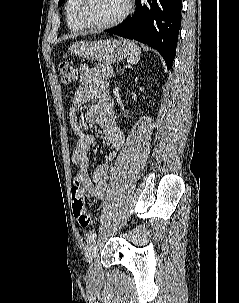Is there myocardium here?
Instances as JSON below:
<instances>
[{"mask_svg": "<svg viewBox=\"0 0 239 303\" xmlns=\"http://www.w3.org/2000/svg\"><path fill=\"white\" fill-rule=\"evenodd\" d=\"M85 0H76V5L74 8L75 16L79 23L85 28L94 29V30H103L114 27L122 23L132 12L133 10V0H126V7L124 11L114 20L106 23H92L86 19L83 13V6Z\"/></svg>", "mask_w": 239, "mask_h": 303, "instance_id": "f54148a6", "label": "myocardium"}]
</instances>
